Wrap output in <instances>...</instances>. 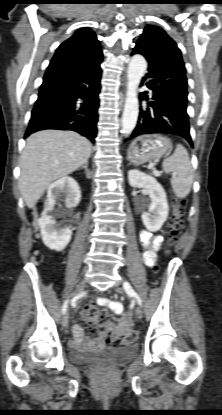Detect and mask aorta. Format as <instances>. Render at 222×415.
<instances>
[{"instance_id": "1", "label": "aorta", "mask_w": 222, "mask_h": 415, "mask_svg": "<svg viewBox=\"0 0 222 415\" xmlns=\"http://www.w3.org/2000/svg\"><path fill=\"white\" fill-rule=\"evenodd\" d=\"M147 69V62L142 55L136 54L131 58L127 72V93L122 115V133L129 135L136 126L139 114L137 89L141 78Z\"/></svg>"}]
</instances>
